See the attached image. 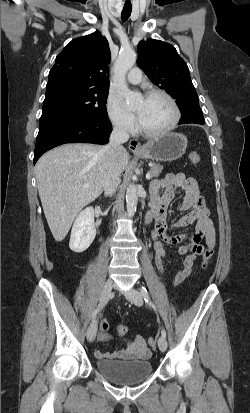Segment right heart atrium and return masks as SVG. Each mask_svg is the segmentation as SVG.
Segmentation results:
<instances>
[{"label": "right heart atrium", "instance_id": "obj_1", "mask_svg": "<svg viewBox=\"0 0 250 413\" xmlns=\"http://www.w3.org/2000/svg\"><path fill=\"white\" fill-rule=\"evenodd\" d=\"M109 121L117 130L132 133L136 128L134 115L123 105L121 99L114 93H109L105 103Z\"/></svg>", "mask_w": 250, "mask_h": 413}]
</instances>
